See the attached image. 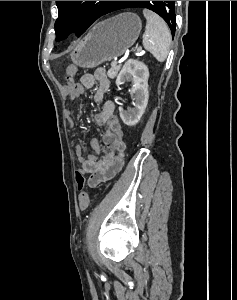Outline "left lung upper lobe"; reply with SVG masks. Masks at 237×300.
Returning a JSON list of instances; mask_svg holds the SVG:
<instances>
[{"label":"left lung upper lobe","instance_id":"5c2ea615","mask_svg":"<svg viewBox=\"0 0 237 300\" xmlns=\"http://www.w3.org/2000/svg\"><path fill=\"white\" fill-rule=\"evenodd\" d=\"M112 1H56L59 17L55 22L56 41L63 40L77 31V36L83 34L87 28L99 17L106 14V9ZM147 8L160 15L173 32L176 27L175 1H167L161 5L160 1H122L120 9Z\"/></svg>","mask_w":237,"mask_h":300}]
</instances>
